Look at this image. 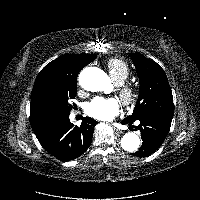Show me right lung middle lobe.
Wrapping results in <instances>:
<instances>
[{
	"instance_id": "dd1d6c3e",
	"label": "right lung middle lobe",
	"mask_w": 200,
	"mask_h": 200,
	"mask_svg": "<svg viewBox=\"0 0 200 200\" xmlns=\"http://www.w3.org/2000/svg\"><path fill=\"white\" fill-rule=\"evenodd\" d=\"M76 91L77 80L40 87L31 96L30 115L70 112L73 106L69 100L75 98Z\"/></svg>"
}]
</instances>
